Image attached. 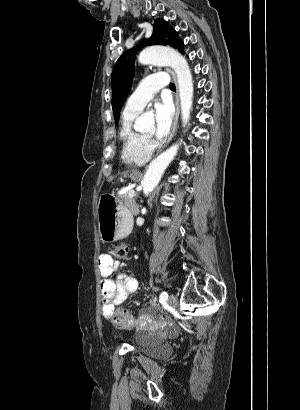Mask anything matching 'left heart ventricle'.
Instances as JSON below:
<instances>
[{"instance_id": "left-heart-ventricle-1", "label": "left heart ventricle", "mask_w": 300, "mask_h": 410, "mask_svg": "<svg viewBox=\"0 0 300 410\" xmlns=\"http://www.w3.org/2000/svg\"><path fill=\"white\" fill-rule=\"evenodd\" d=\"M153 133V130L151 129L150 131H148L147 133H146V135H151Z\"/></svg>"}]
</instances>
